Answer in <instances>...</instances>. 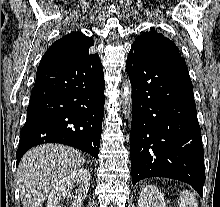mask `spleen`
<instances>
[{"instance_id":"spleen-1","label":"spleen","mask_w":220,"mask_h":207,"mask_svg":"<svg viewBox=\"0 0 220 207\" xmlns=\"http://www.w3.org/2000/svg\"><path fill=\"white\" fill-rule=\"evenodd\" d=\"M179 207H198L195 195L188 190L182 191L180 194Z\"/></svg>"}]
</instances>
